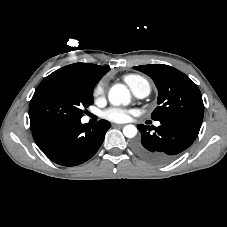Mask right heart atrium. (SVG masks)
<instances>
[{
    "mask_svg": "<svg viewBox=\"0 0 227 227\" xmlns=\"http://www.w3.org/2000/svg\"><path fill=\"white\" fill-rule=\"evenodd\" d=\"M105 91V81L102 80L96 84V86L93 89V96L96 98L101 97L104 94Z\"/></svg>",
    "mask_w": 227,
    "mask_h": 227,
    "instance_id": "1",
    "label": "right heart atrium"
}]
</instances>
